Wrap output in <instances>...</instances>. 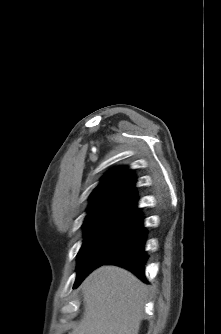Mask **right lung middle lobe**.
I'll return each mask as SVG.
<instances>
[{
	"mask_svg": "<svg viewBox=\"0 0 221 334\" xmlns=\"http://www.w3.org/2000/svg\"><path fill=\"white\" fill-rule=\"evenodd\" d=\"M142 221L136 216H98L85 220V239L77 255L74 287L125 247L141 230Z\"/></svg>",
	"mask_w": 221,
	"mask_h": 334,
	"instance_id": "right-lung-middle-lobe-1",
	"label": "right lung middle lobe"
}]
</instances>
